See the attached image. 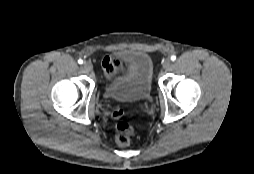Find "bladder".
<instances>
[{
    "instance_id": "1",
    "label": "bladder",
    "mask_w": 254,
    "mask_h": 174,
    "mask_svg": "<svg viewBox=\"0 0 254 174\" xmlns=\"http://www.w3.org/2000/svg\"><path fill=\"white\" fill-rule=\"evenodd\" d=\"M127 68L111 80H107L106 93L120 101L146 99L152 91L153 62L142 51H131L124 55Z\"/></svg>"
}]
</instances>
